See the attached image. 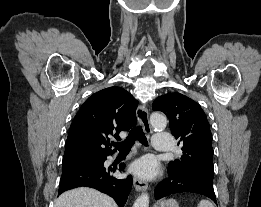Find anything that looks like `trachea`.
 Listing matches in <instances>:
<instances>
[{
	"label": "trachea",
	"mask_w": 261,
	"mask_h": 207,
	"mask_svg": "<svg viewBox=\"0 0 261 207\" xmlns=\"http://www.w3.org/2000/svg\"><path fill=\"white\" fill-rule=\"evenodd\" d=\"M139 140L140 143L147 145V138L143 132L142 126L134 127L128 134L127 138L120 143H113L112 145L118 149L120 153L129 152L135 141Z\"/></svg>",
	"instance_id": "1"
}]
</instances>
